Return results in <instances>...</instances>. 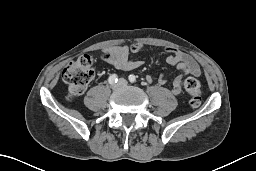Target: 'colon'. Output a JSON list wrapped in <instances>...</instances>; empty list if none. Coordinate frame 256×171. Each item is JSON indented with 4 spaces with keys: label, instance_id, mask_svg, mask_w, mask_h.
<instances>
[{
    "label": "colon",
    "instance_id": "1",
    "mask_svg": "<svg viewBox=\"0 0 256 171\" xmlns=\"http://www.w3.org/2000/svg\"><path fill=\"white\" fill-rule=\"evenodd\" d=\"M95 74L93 58L83 55L76 61L66 65L62 72V79L68 85L67 100L72 102L79 96L89 84ZM185 92L189 99V105L197 108L201 104L202 86L195 78H187L184 82Z\"/></svg>",
    "mask_w": 256,
    "mask_h": 171
}]
</instances>
